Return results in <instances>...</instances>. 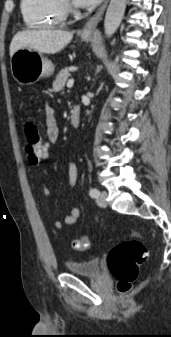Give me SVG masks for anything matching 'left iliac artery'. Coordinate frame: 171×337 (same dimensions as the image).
Returning a JSON list of instances; mask_svg holds the SVG:
<instances>
[{
    "instance_id": "left-iliac-artery-1",
    "label": "left iliac artery",
    "mask_w": 171,
    "mask_h": 337,
    "mask_svg": "<svg viewBox=\"0 0 171 337\" xmlns=\"http://www.w3.org/2000/svg\"><path fill=\"white\" fill-rule=\"evenodd\" d=\"M89 194L92 198H97L99 196V190L96 188H92L90 189Z\"/></svg>"
}]
</instances>
